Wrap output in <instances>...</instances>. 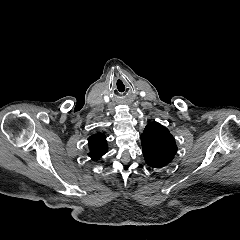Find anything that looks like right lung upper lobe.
Masks as SVG:
<instances>
[{
    "instance_id": "obj_1",
    "label": "right lung upper lobe",
    "mask_w": 240,
    "mask_h": 240,
    "mask_svg": "<svg viewBox=\"0 0 240 240\" xmlns=\"http://www.w3.org/2000/svg\"><path fill=\"white\" fill-rule=\"evenodd\" d=\"M88 145L90 150L88 156L92 160H97L108 152L106 136L102 133H97L89 137Z\"/></svg>"
}]
</instances>
